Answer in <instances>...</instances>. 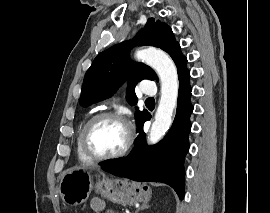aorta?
<instances>
[{
	"instance_id": "762f6f07",
	"label": "aorta",
	"mask_w": 270,
	"mask_h": 213,
	"mask_svg": "<svg viewBox=\"0 0 270 213\" xmlns=\"http://www.w3.org/2000/svg\"><path fill=\"white\" fill-rule=\"evenodd\" d=\"M136 58L151 66L161 81V97L148 137L149 143L155 144L172 124L179 90L177 69L172 59L165 52L156 48L139 50L136 52Z\"/></svg>"
}]
</instances>
